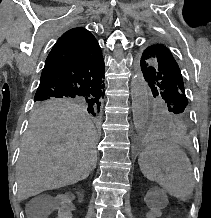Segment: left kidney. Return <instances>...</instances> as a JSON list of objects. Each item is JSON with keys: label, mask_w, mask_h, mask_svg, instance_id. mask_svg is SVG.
<instances>
[{"label": "left kidney", "mask_w": 211, "mask_h": 218, "mask_svg": "<svg viewBox=\"0 0 211 218\" xmlns=\"http://www.w3.org/2000/svg\"><path fill=\"white\" fill-rule=\"evenodd\" d=\"M148 193H151V192H148ZM146 215H148L147 218H160V215H154V210H146Z\"/></svg>", "instance_id": "5707ae66"}]
</instances>
